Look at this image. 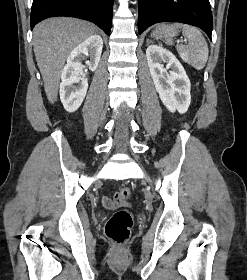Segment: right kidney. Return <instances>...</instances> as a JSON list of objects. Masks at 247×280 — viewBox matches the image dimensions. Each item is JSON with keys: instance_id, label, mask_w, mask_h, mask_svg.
Instances as JSON below:
<instances>
[{"instance_id": "1", "label": "right kidney", "mask_w": 247, "mask_h": 280, "mask_svg": "<svg viewBox=\"0 0 247 280\" xmlns=\"http://www.w3.org/2000/svg\"><path fill=\"white\" fill-rule=\"evenodd\" d=\"M102 48L103 40L95 34L86 38L70 52L60 83V99L68 112L76 111L87 93L88 80L83 73L85 65L82 61L86 56H90V61H86V66L89 70L95 71L100 61Z\"/></svg>"}]
</instances>
